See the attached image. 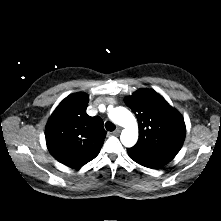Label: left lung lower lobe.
I'll list each match as a JSON object with an SVG mask.
<instances>
[{"mask_svg": "<svg viewBox=\"0 0 221 221\" xmlns=\"http://www.w3.org/2000/svg\"><path fill=\"white\" fill-rule=\"evenodd\" d=\"M138 164L151 168V169H159L166 165L169 160L161 159V158H131Z\"/></svg>", "mask_w": 221, "mask_h": 221, "instance_id": "left-lung-lower-lobe-1", "label": "left lung lower lobe"}]
</instances>
